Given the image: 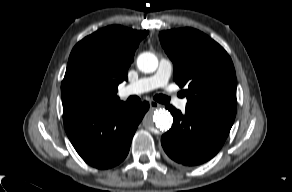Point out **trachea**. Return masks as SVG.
Here are the masks:
<instances>
[{"label": "trachea", "mask_w": 292, "mask_h": 192, "mask_svg": "<svg viewBox=\"0 0 292 192\" xmlns=\"http://www.w3.org/2000/svg\"><path fill=\"white\" fill-rule=\"evenodd\" d=\"M154 100H156L157 102L163 103V104L169 103V101H170V99L164 95H156V96H154ZM130 101L132 103H138V102H140V99L137 96H134V97L130 98Z\"/></svg>", "instance_id": "3493384b"}]
</instances>
